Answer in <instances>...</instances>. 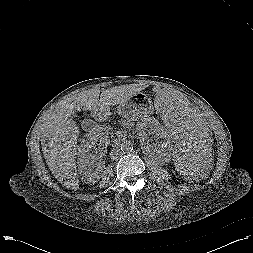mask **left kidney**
Instances as JSON below:
<instances>
[{
  "label": "left kidney",
  "instance_id": "5707ae66",
  "mask_svg": "<svg viewBox=\"0 0 253 253\" xmlns=\"http://www.w3.org/2000/svg\"><path fill=\"white\" fill-rule=\"evenodd\" d=\"M147 132L153 134L159 139L160 144L158 147L146 145ZM137 134L140 140L144 143V147L152 154H158L159 156H171L170 149V134L168 130L159 123L155 118L145 119L142 123L137 126Z\"/></svg>",
  "mask_w": 253,
  "mask_h": 253
}]
</instances>
